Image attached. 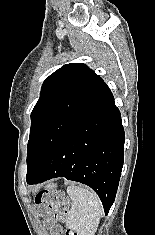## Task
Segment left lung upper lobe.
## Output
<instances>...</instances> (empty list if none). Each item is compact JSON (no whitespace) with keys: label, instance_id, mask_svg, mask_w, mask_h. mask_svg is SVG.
Returning <instances> with one entry per match:
<instances>
[{"label":"left lung upper lobe","instance_id":"5c2ea615","mask_svg":"<svg viewBox=\"0 0 155 235\" xmlns=\"http://www.w3.org/2000/svg\"><path fill=\"white\" fill-rule=\"evenodd\" d=\"M107 90L105 82L82 63L64 65L46 78L31 113L27 175L39 171L65 135Z\"/></svg>","mask_w":155,"mask_h":235}]
</instances>
